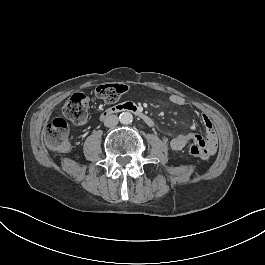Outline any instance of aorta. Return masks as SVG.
<instances>
[{
	"mask_svg": "<svg viewBox=\"0 0 265 265\" xmlns=\"http://www.w3.org/2000/svg\"><path fill=\"white\" fill-rule=\"evenodd\" d=\"M119 119L122 124H130L133 120V115L130 112H122Z\"/></svg>",
	"mask_w": 265,
	"mask_h": 265,
	"instance_id": "aorta-1",
	"label": "aorta"
}]
</instances>
